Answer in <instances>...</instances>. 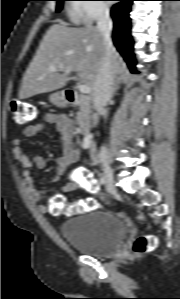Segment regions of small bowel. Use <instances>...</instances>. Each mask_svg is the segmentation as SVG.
Returning a JSON list of instances; mask_svg holds the SVG:
<instances>
[{"instance_id":"obj_1","label":"small bowel","mask_w":180,"mask_h":299,"mask_svg":"<svg viewBox=\"0 0 180 299\" xmlns=\"http://www.w3.org/2000/svg\"><path fill=\"white\" fill-rule=\"evenodd\" d=\"M49 125H54L60 132V141L63 149L61 156L57 158V169L53 176L54 181L58 180L70 166L78 161L81 153L80 148L76 146L73 141V120L60 113H47L43 121L26 126L23 129L22 134L13 139V155L22 168L25 191L29 199L34 203L39 202L45 191L39 190L35 186L31 169L33 166L40 169L46 167V161L41 156H33L32 158L28 157L22 148V143L24 139L34 137ZM95 163L96 161L93 160V164ZM84 173H86L85 168L79 167L64 185L63 192L69 193L82 187L81 177ZM38 209L42 213L48 212V206L46 205H38Z\"/></svg>"}]
</instances>
